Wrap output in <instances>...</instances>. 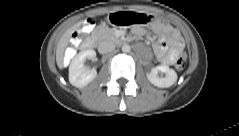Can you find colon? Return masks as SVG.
Here are the masks:
<instances>
[{"mask_svg": "<svg viewBox=\"0 0 239 136\" xmlns=\"http://www.w3.org/2000/svg\"><path fill=\"white\" fill-rule=\"evenodd\" d=\"M92 25H93V22L91 20L87 21L83 26V32H89L92 29ZM175 66L178 70H181L183 68L184 64H183V58L182 57H180L177 60Z\"/></svg>", "mask_w": 239, "mask_h": 136, "instance_id": "obj_1", "label": "colon"}]
</instances>
